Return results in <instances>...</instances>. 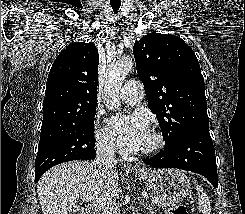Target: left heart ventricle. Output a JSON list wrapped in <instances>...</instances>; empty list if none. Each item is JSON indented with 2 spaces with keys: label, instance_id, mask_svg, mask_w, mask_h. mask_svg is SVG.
I'll list each match as a JSON object with an SVG mask.
<instances>
[{
  "label": "left heart ventricle",
  "instance_id": "obj_1",
  "mask_svg": "<svg viewBox=\"0 0 245 214\" xmlns=\"http://www.w3.org/2000/svg\"><path fill=\"white\" fill-rule=\"evenodd\" d=\"M153 142V139L150 135V133H148V135L146 136L145 140L143 141L141 147L138 149V151L144 150L146 148H148Z\"/></svg>",
  "mask_w": 245,
  "mask_h": 214
}]
</instances>
